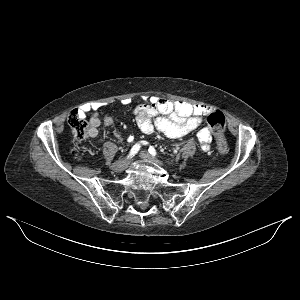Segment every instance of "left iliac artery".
Returning a JSON list of instances; mask_svg holds the SVG:
<instances>
[{
	"mask_svg": "<svg viewBox=\"0 0 300 300\" xmlns=\"http://www.w3.org/2000/svg\"><path fill=\"white\" fill-rule=\"evenodd\" d=\"M149 153L152 155V156H156L157 155V152L155 150V148L153 146H150L149 147Z\"/></svg>",
	"mask_w": 300,
	"mask_h": 300,
	"instance_id": "1",
	"label": "left iliac artery"
}]
</instances>
